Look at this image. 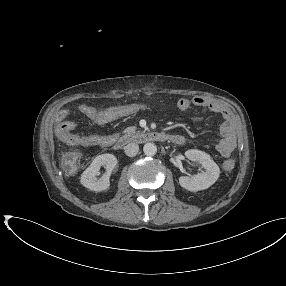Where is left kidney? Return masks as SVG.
<instances>
[{
    "instance_id": "left-kidney-1",
    "label": "left kidney",
    "mask_w": 286,
    "mask_h": 286,
    "mask_svg": "<svg viewBox=\"0 0 286 286\" xmlns=\"http://www.w3.org/2000/svg\"><path fill=\"white\" fill-rule=\"evenodd\" d=\"M185 156L187 159L201 164L205 172H201L192 177L181 176L179 178L181 187L195 192L207 189L217 181L220 175V169L209 154L197 149H190L185 152Z\"/></svg>"
}]
</instances>
